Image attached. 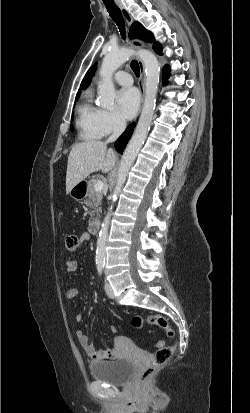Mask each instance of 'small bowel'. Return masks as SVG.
<instances>
[{
    "mask_svg": "<svg viewBox=\"0 0 250 413\" xmlns=\"http://www.w3.org/2000/svg\"><path fill=\"white\" fill-rule=\"evenodd\" d=\"M89 236L87 234L82 235L81 242L87 241ZM78 264L73 259H67L65 262V269L67 273H73L77 270ZM78 294V290L76 288H69L65 296L68 300H73ZM83 319L82 314H77L75 316V320L77 322H81ZM76 337L81 345V347L85 350L87 356L93 361H101V360H108L114 359L118 355V347L122 342L123 338H115V346L111 349H96L91 343L88 335L86 332L79 328L76 330Z\"/></svg>",
    "mask_w": 250,
    "mask_h": 413,
    "instance_id": "c3829d8e",
    "label": "small bowel"
}]
</instances>
